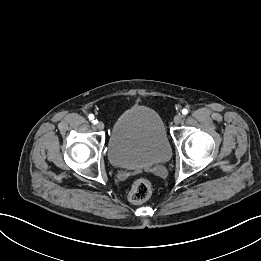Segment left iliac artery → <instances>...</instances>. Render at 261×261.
I'll return each mask as SVG.
<instances>
[{"mask_svg": "<svg viewBox=\"0 0 261 261\" xmlns=\"http://www.w3.org/2000/svg\"><path fill=\"white\" fill-rule=\"evenodd\" d=\"M187 113H188V110H187V109H183V110H182V114H183V115H186Z\"/></svg>", "mask_w": 261, "mask_h": 261, "instance_id": "1", "label": "left iliac artery"}]
</instances>
